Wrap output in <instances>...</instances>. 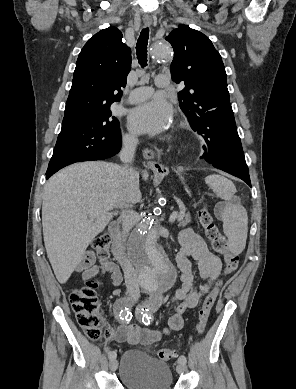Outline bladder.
I'll use <instances>...</instances> for the list:
<instances>
[{"label":"bladder","mask_w":296,"mask_h":389,"mask_svg":"<svg viewBox=\"0 0 296 389\" xmlns=\"http://www.w3.org/2000/svg\"><path fill=\"white\" fill-rule=\"evenodd\" d=\"M119 379L127 389H171L173 382L167 363L137 349L122 354Z\"/></svg>","instance_id":"obj_1"}]
</instances>
